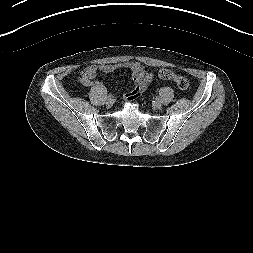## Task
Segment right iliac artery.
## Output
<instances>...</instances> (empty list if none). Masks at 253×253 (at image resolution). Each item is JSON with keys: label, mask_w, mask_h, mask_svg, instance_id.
<instances>
[{"label": "right iliac artery", "mask_w": 253, "mask_h": 253, "mask_svg": "<svg viewBox=\"0 0 253 253\" xmlns=\"http://www.w3.org/2000/svg\"><path fill=\"white\" fill-rule=\"evenodd\" d=\"M111 97H112L111 94H109V95H108V98H111Z\"/></svg>", "instance_id": "obj_1"}]
</instances>
